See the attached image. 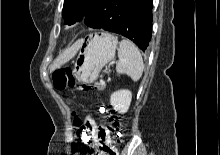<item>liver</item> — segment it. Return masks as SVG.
Segmentation results:
<instances>
[{"label": "liver", "instance_id": "obj_1", "mask_svg": "<svg viewBox=\"0 0 220 155\" xmlns=\"http://www.w3.org/2000/svg\"><path fill=\"white\" fill-rule=\"evenodd\" d=\"M81 43L82 41H78L70 49L64 51L52 64L51 71L56 68H59L61 65L65 64L70 59H72L80 49Z\"/></svg>", "mask_w": 220, "mask_h": 155}]
</instances>
